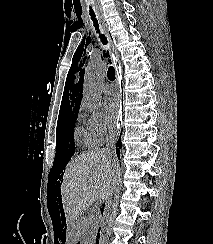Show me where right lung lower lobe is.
Instances as JSON below:
<instances>
[{
  "label": "right lung lower lobe",
  "instance_id": "1",
  "mask_svg": "<svg viewBox=\"0 0 213 244\" xmlns=\"http://www.w3.org/2000/svg\"><path fill=\"white\" fill-rule=\"evenodd\" d=\"M116 146L118 147V148H116V153H117L118 157H120L119 148H121V146H122L121 137L119 138L118 142L116 143Z\"/></svg>",
  "mask_w": 213,
  "mask_h": 244
}]
</instances>
